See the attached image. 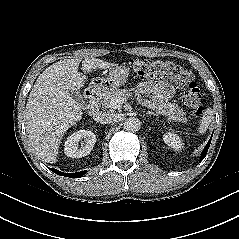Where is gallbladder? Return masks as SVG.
Returning <instances> with one entry per match:
<instances>
[{
    "instance_id": "bac80fb5",
    "label": "gallbladder",
    "mask_w": 239,
    "mask_h": 239,
    "mask_svg": "<svg viewBox=\"0 0 239 239\" xmlns=\"http://www.w3.org/2000/svg\"><path fill=\"white\" fill-rule=\"evenodd\" d=\"M71 95L78 103H82L84 101L82 95L78 91L71 92Z\"/></svg>"
}]
</instances>
